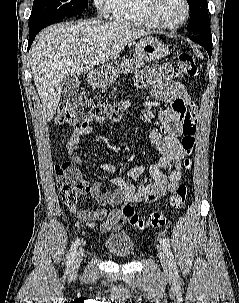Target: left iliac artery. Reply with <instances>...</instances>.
<instances>
[{
    "label": "left iliac artery",
    "mask_w": 239,
    "mask_h": 303,
    "mask_svg": "<svg viewBox=\"0 0 239 303\" xmlns=\"http://www.w3.org/2000/svg\"><path fill=\"white\" fill-rule=\"evenodd\" d=\"M160 242L162 244L163 250L168 258L169 264L172 268L176 267V264L174 262V257L170 248V245L168 241L165 238H160Z\"/></svg>",
    "instance_id": "44dca946"
}]
</instances>
